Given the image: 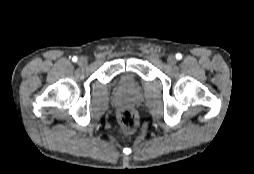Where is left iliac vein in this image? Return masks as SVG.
Here are the masks:
<instances>
[{
	"mask_svg": "<svg viewBox=\"0 0 254 174\" xmlns=\"http://www.w3.org/2000/svg\"><path fill=\"white\" fill-rule=\"evenodd\" d=\"M167 62L169 65H175L177 62V59L174 55H169L167 58Z\"/></svg>",
	"mask_w": 254,
	"mask_h": 174,
	"instance_id": "1",
	"label": "left iliac vein"
}]
</instances>
